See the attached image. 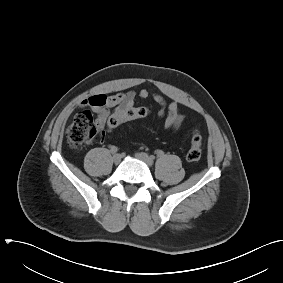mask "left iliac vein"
I'll return each instance as SVG.
<instances>
[{"mask_svg":"<svg viewBox=\"0 0 283 283\" xmlns=\"http://www.w3.org/2000/svg\"><path fill=\"white\" fill-rule=\"evenodd\" d=\"M135 156L139 160L143 161L147 166L151 167L153 165V159L150 156H148L146 153L138 152L135 154Z\"/></svg>","mask_w":283,"mask_h":283,"instance_id":"obj_1","label":"left iliac vein"}]
</instances>
